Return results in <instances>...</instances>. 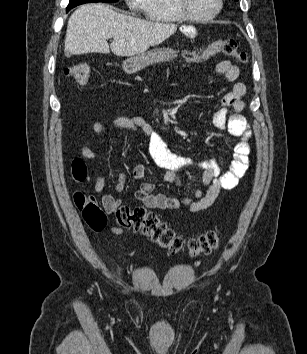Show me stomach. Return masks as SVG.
Segmentation results:
<instances>
[{
    "mask_svg": "<svg viewBox=\"0 0 307 354\" xmlns=\"http://www.w3.org/2000/svg\"><path fill=\"white\" fill-rule=\"evenodd\" d=\"M176 56L177 52L171 48L154 49L126 59L123 61L122 68L126 73L133 74L150 65L169 62Z\"/></svg>",
    "mask_w": 307,
    "mask_h": 354,
    "instance_id": "stomach-1",
    "label": "stomach"
}]
</instances>
